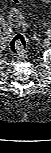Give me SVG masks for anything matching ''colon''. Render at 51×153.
<instances>
[{
  "mask_svg": "<svg viewBox=\"0 0 51 153\" xmlns=\"http://www.w3.org/2000/svg\"><path fill=\"white\" fill-rule=\"evenodd\" d=\"M16 5L9 12V22L12 27H25L26 21L20 11V0H12ZM11 53L17 59H24L27 51V40L22 34H16L12 37L9 43Z\"/></svg>",
  "mask_w": 51,
  "mask_h": 153,
  "instance_id": "colon-1",
  "label": "colon"
}]
</instances>
